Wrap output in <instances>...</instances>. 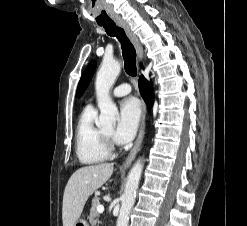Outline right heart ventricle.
<instances>
[{"mask_svg": "<svg viewBox=\"0 0 247 226\" xmlns=\"http://www.w3.org/2000/svg\"><path fill=\"white\" fill-rule=\"evenodd\" d=\"M97 112L93 106H87L78 121L76 129V155L82 164H97L106 160V151L102 131L96 126Z\"/></svg>", "mask_w": 247, "mask_h": 226, "instance_id": "1", "label": "right heart ventricle"}]
</instances>
